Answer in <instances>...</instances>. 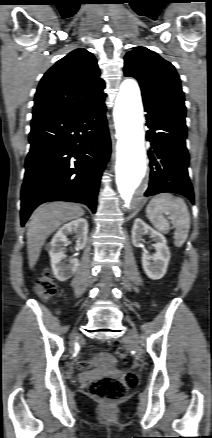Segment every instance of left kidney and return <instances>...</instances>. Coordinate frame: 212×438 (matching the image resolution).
Wrapping results in <instances>:
<instances>
[{
	"instance_id": "left-kidney-1",
	"label": "left kidney",
	"mask_w": 212,
	"mask_h": 438,
	"mask_svg": "<svg viewBox=\"0 0 212 438\" xmlns=\"http://www.w3.org/2000/svg\"><path fill=\"white\" fill-rule=\"evenodd\" d=\"M145 234L150 235L155 242L154 248L156 253L152 256L149 255V252L142 245V236ZM132 243L136 247L143 248L142 266L145 274L152 280L161 279L167 271L168 262L171 257L164 235L154 230L142 219L137 218L132 228Z\"/></svg>"
}]
</instances>
